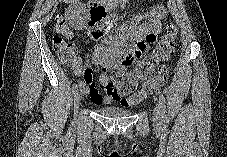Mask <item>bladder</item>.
Masks as SVG:
<instances>
[{"instance_id": "bladder-1", "label": "bladder", "mask_w": 227, "mask_h": 157, "mask_svg": "<svg viewBox=\"0 0 227 157\" xmlns=\"http://www.w3.org/2000/svg\"><path fill=\"white\" fill-rule=\"evenodd\" d=\"M97 112L107 118H122L132 114V110L118 106H106L97 109Z\"/></svg>"}]
</instances>
